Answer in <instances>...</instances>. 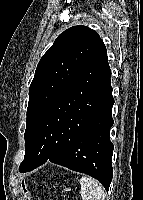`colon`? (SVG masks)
<instances>
[{"label": "colon", "mask_w": 143, "mask_h": 200, "mask_svg": "<svg viewBox=\"0 0 143 200\" xmlns=\"http://www.w3.org/2000/svg\"><path fill=\"white\" fill-rule=\"evenodd\" d=\"M22 188H23V191L25 192L26 191L25 183H22Z\"/></svg>", "instance_id": "colon-1"}]
</instances>
